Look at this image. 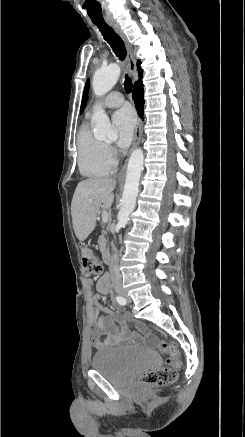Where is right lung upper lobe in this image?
Segmentation results:
<instances>
[{"label":"right lung upper lobe","mask_w":245,"mask_h":437,"mask_svg":"<svg viewBox=\"0 0 245 437\" xmlns=\"http://www.w3.org/2000/svg\"><path fill=\"white\" fill-rule=\"evenodd\" d=\"M138 71H139V77L141 79V77H142V69L140 68V61L138 62Z\"/></svg>","instance_id":"1"}]
</instances>
